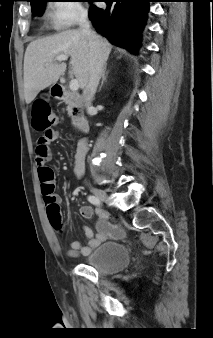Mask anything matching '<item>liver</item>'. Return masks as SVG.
Listing matches in <instances>:
<instances>
[{"mask_svg": "<svg viewBox=\"0 0 213 338\" xmlns=\"http://www.w3.org/2000/svg\"><path fill=\"white\" fill-rule=\"evenodd\" d=\"M103 52L109 55L111 45L98 36ZM58 55L70 56V75H75L79 86L85 88L89 79L90 48L88 39L79 30L64 31L32 41L24 56V96L27 104L37 94L55 84L66 70L65 63H56Z\"/></svg>", "mask_w": 213, "mask_h": 338, "instance_id": "obj_1", "label": "liver"}]
</instances>
